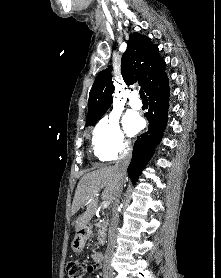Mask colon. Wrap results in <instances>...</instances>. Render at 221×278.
<instances>
[{"mask_svg": "<svg viewBox=\"0 0 221 278\" xmlns=\"http://www.w3.org/2000/svg\"><path fill=\"white\" fill-rule=\"evenodd\" d=\"M90 271L91 266L77 260L69 262L66 268L68 278H84Z\"/></svg>", "mask_w": 221, "mask_h": 278, "instance_id": "colon-1", "label": "colon"}]
</instances>
